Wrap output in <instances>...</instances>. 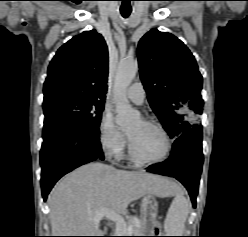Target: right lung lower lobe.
Wrapping results in <instances>:
<instances>
[{"label":"right lung lower lobe","mask_w":248,"mask_h":237,"mask_svg":"<svg viewBox=\"0 0 248 237\" xmlns=\"http://www.w3.org/2000/svg\"><path fill=\"white\" fill-rule=\"evenodd\" d=\"M97 158L103 159L99 129L44 124L40 152L44 201L54 184L63 175Z\"/></svg>","instance_id":"1"}]
</instances>
